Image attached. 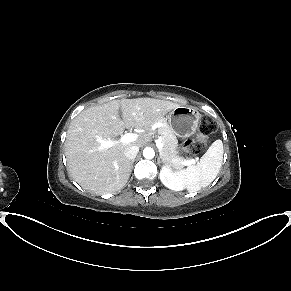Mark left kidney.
<instances>
[{
	"mask_svg": "<svg viewBox=\"0 0 291 291\" xmlns=\"http://www.w3.org/2000/svg\"><path fill=\"white\" fill-rule=\"evenodd\" d=\"M159 176L161 182L167 188L175 191H181L185 189L184 180L177 176L168 165H165L161 168Z\"/></svg>",
	"mask_w": 291,
	"mask_h": 291,
	"instance_id": "left-kidney-1",
	"label": "left kidney"
}]
</instances>
